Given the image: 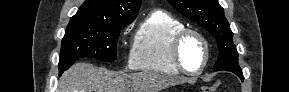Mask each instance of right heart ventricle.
I'll use <instances>...</instances> for the list:
<instances>
[{
    "label": "right heart ventricle",
    "instance_id": "right-heart-ventricle-1",
    "mask_svg": "<svg viewBox=\"0 0 289 92\" xmlns=\"http://www.w3.org/2000/svg\"><path fill=\"white\" fill-rule=\"evenodd\" d=\"M184 25L172 15L155 11L141 25L135 38L130 66L136 70L175 76L180 70L171 56V43Z\"/></svg>",
    "mask_w": 289,
    "mask_h": 92
}]
</instances>
